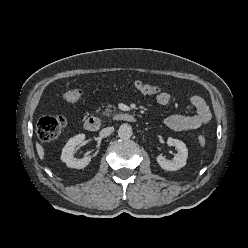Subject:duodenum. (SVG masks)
<instances>
[{
	"mask_svg": "<svg viewBox=\"0 0 248 248\" xmlns=\"http://www.w3.org/2000/svg\"><path fill=\"white\" fill-rule=\"evenodd\" d=\"M135 121L134 115L127 112H118L108 118H102L97 116L88 117L84 122L85 130L94 132L99 130L102 126L112 122H129Z\"/></svg>",
	"mask_w": 248,
	"mask_h": 248,
	"instance_id": "obj_1",
	"label": "duodenum"
}]
</instances>
